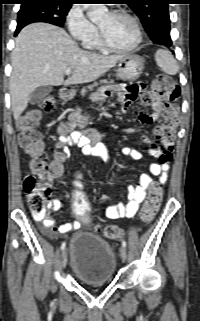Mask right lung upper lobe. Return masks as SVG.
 Masks as SVG:
<instances>
[{
	"instance_id": "cb5924a9",
	"label": "right lung upper lobe",
	"mask_w": 200,
	"mask_h": 321,
	"mask_svg": "<svg viewBox=\"0 0 200 321\" xmlns=\"http://www.w3.org/2000/svg\"><path fill=\"white\" fill-rule=\"evenodd\" d=\"M20 1H28V0H20ZM55 1H60L63 2L64 4H69L71 5L75 0H55Z\"/></svg>"
}]
</instances>
